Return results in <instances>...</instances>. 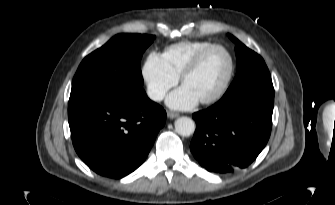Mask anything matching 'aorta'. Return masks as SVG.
Listing matches in <instances>:
<instances>
[{
	"mask_svg": "<svg viewBox=\"0 0 335 205\" xmlns=\"http://www.w3.org/2000/svg\"><path fill=\"white\" fill-rule=\"evenodd\" d=\"M175 130L181 136H190L195 131V123L189 117H180L175 121Z\"/></svg>",
	"mask_w": 335,
	"mask_h": 205,
	"instance_id": "aorta-1",
	"label": "aorta"
}]
</instances>
